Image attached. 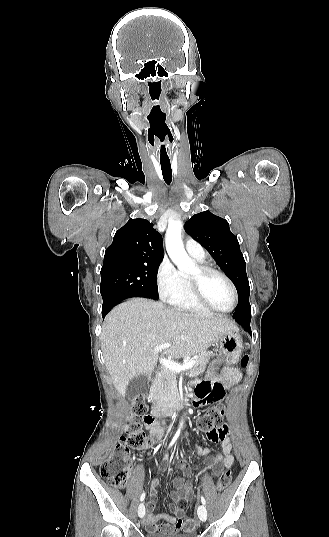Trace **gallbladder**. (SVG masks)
<instances>
[{"label":"gallbladder","instance_id":"1","mask_svg":"<svg viewBox=\"0 0 329 537\" xmlns=\"http://www.w3.org/2000/svg\"><path fill=\"white\" fill-rule=\"evenodd\" d=\"M149 388V379L146 375L140 374L134 377L126 388L128 397H136L141 394H146Z\"/></svg>","mask_w":329,"mask_h":537}]
</instances>
